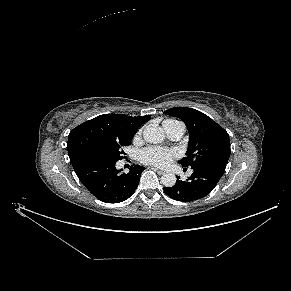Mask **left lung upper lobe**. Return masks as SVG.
Segmentation results:
<instances>
[{"label":"left lung upper lobe","mask_w":291,"mask_h":291,"mask_svg":"<svg viewBox=\"0 0 291 291\" xmlns=\"http://www.w3.org/2000/svg\"><path fill=\"white\" fill-rule=\"evenodd\" d=\"M164 113L181 119L190 134L186 156L179 161L183 167L227 164L231 152L229 135L220 125L204 113L191 108L175 107Z\"/></svg>","instance_id":"obj_1"}]
</instances>
